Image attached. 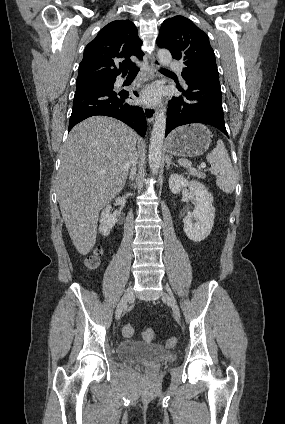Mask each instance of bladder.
<instances>
[{"label":"bladder","instance_id":"obj_1","mask_svg":"<svg viewBox=\"0 0 285 424\" xmlns=\"http://www.w3.org/2000/svg\"><path fill=\"white\" fill-rule=\"evenodd\" d=\"M118 355L121 359L131 362L173 361L176 354L160 345L127 340L120 343Z\"/></svg>","mask_w":285,"mask_h":424}]
</instances>
